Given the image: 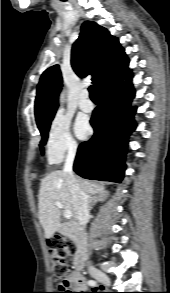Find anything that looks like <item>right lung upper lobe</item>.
<instances>
[{"label":"right lung upper lobe","mask_w":170,"mask_h":293,"mask_svg":"<svg viewBox=\"0 0 170 293\" xmlns=\"http://www.w3.org/2000/svg\"><path fill=\"white\" fill-rule=\"evenodd\" d=\"M128 58L119 41L95 22L82 24L78 39L73 44L71 64L80 77L92 75V83L98 89L109 79L128 70ZM62 87L59 65L45 70L37 86L35 117L38 128L49 125L58 107V95Z\"/></svg>","instance_id":"obj_1"}]
</instances>
